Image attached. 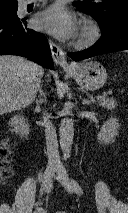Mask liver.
Masks as SVG:
<instances>
[{"label": "liver", "mask_w": 128, "mask_h": 213, "mask_svg": "<svg viewBox=\"0 0 128 213\" xmlns=\"http://www.w3.org/2000/svg\"><path fill=\"white\" fill-rule=\"evenodd\" d=\"M43 73L39 65L22 57L0 56V115L31 104Z\"/></svg>", "instance_id": "obj_1"}]
</instances>
